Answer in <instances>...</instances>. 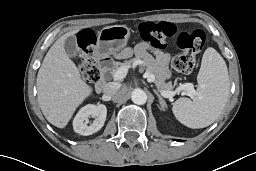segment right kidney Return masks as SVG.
I'll list each match as a JSON object with an SVG mask.
<instances>
[{
    "label": "right kidney",
    "instance_id": "right-kidney-1",
    "mask_svg": "<svg viewBox=\"0 0 256 171\" xmlns=\"http://www.w3.org/2000/svg\"><path fill=\"white\" fill-rule=\"evenodd\" d=\"M107 108L104 104H89L82 107L73 120V129L80 135L88 136L99 131L106 120ZM96 117L95 121L88 125L86 120L90 117Z\"/></svg>",
    "mask_w": 256,
    "mask_h": 171
}]
</instances>
